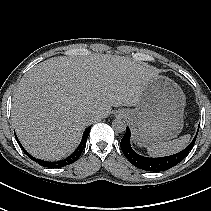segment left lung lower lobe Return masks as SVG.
Wrapping results in <instances>:
<instances>
[{
  "mask_svg": "<svg viewBox=\"0 0 211 211\" xmlns=\"http://www.w3.org/2000/svg\"><path fill=\"white\" fill-rule=\"evenodd\" d=\"M130 134V130L127 127L126 133L120 143L124 156L130 161L131 164L139 169L159 172L174 167L188 155L195 144L198 132L192 142L184 150L174 155L159 158L144 157L135 153L130 146Z\"/></svg>",
  "mask_w": 211,
  "mask_h": 211,
  "instance_id": "obj_1",
  "label": "left lung lower lobe"
}]
</instances>
